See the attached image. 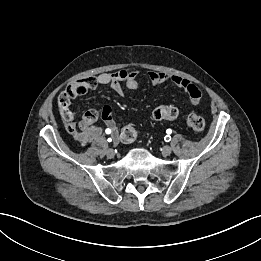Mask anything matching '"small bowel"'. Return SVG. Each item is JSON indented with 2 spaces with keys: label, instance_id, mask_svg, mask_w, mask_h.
<instances>
[{
  "label": "small bowel",
  "instance_id": "c3829d8e",
  "mask_svg": "<svg viewBox=\"0 0 261 261\" xmlns=\"http://www.w3.org/2000/svg\"><path fill=\"white\" fill-rule=\"evenodd\" d=\"M137 71L119 70L113 73H102L95 78H91V83L86 87L85 92L95 89L98 86L109 85L115 92L122 93V84L128 89L135 90L138 88ZM149 78L155 85L164 82H170L179 88L183 89L190 99L192 105H196L201 97L198 87L187 79L177 75L166 74L158 71L149 72ZM62 116L65 119L64 112L61 110ZM102 119L106 129L111 130L116 134V122L112 117V112L109 107L101 109ZM66 120V119H65ZM82 122L85 123L81 130H72L74 138L82 144L91 142L103 134L104 129L100 126L92 125L94 120L88 119V112L84 115Z\"/></svg>",
  "mask_w": 261,
  "mask_h": 261
}]
</instances>
